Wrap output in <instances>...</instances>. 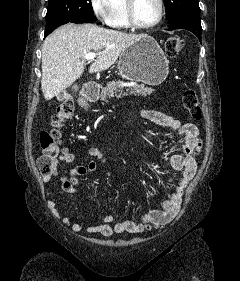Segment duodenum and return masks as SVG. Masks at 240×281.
Returning <instances> with one entry per match:
<instances>
[{"label":"duodenum","mask_w":240,"mask_h":281,"mask_svg":"<svg viewBox=\"0 0 240 281\" xmlns=\"http://www.w3.org/2000/svg\"><path fill=\"white\" fill-rule=\"evenodd\" d=\"M98 96V88L96 86H89L83 93L84 101H94Z\"/></svg>","instance_id":"duodenum-1"}]
</instances>
